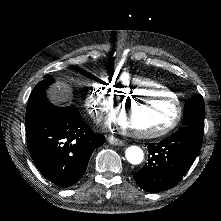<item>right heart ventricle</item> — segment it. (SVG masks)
Here are the masks:
<instances>
[{
	"label": "right heart ventricle",
	"instance_id": "right-heart-ventricle-1",
	"mask_svg": "<svg viewBox=\"0 0 221 221\" xmlns=\"http://www.w3.org/2000/svg\"><path fill=\"white\" fill-rule=\"evenodd\" d=\"M127 72V71H124ZM115 73V74H114ZM114 74V75H113ZM113 77V78H112ZM107 86L109 89L114 90L116 95L126 94H150L164 98H172L175 96L176 91L172 87H163L158 81L145 78L141 75L128 73L126 76L120 71H111L107 75ZM115 82H114V81Z\"/></svg>",
	"mask_w": 221,
	"mask_h": 221
}]
</instances>
